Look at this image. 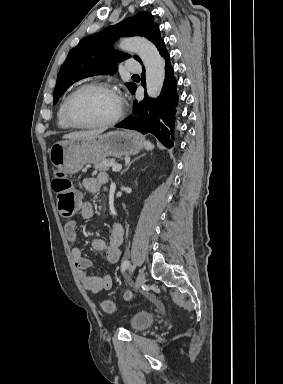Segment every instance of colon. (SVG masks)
Returning <instances> with one entry per match:
<instances>
[{
	"label": "colon",
	"instance_id": "1",
	"mask_svg": "<svg viewBox=\"0 0 283 384\" xmlns=\"http://www.w3.org/2000/svg\"><path fill=\"white\" fill-rule=\"evenodd\" d=\"M52 188L57 197L58 211L65 219L72 218L79 208V198L72 182L63 174H57L52 181ZM131 293L126 294V299L132 298ZM102 309L105 313L111 314L115 311L112 301H104Z\"/></svg>",
	"mask_w": 283,
	"mask_h": 384
}]
</instances>
